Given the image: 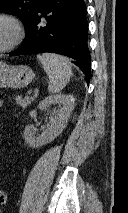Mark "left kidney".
<instances>
[{"label":"left kidney","mask_w":128,"mask_h":213,"mask_svg":"<svg viewBox=\"0 0 128 213\" xmlns=\"http://www.w3.org/2000/svg\"><path fill=\"white\" fill-rule=\"evenodd\" d=\"M74 102L75 98L66 94L48 96L42 100L38 105L40 110H47L52 104H60L61 107L51 111L49 124L41 128L40 135H36L30 126H26L23 134L25 142L32 148H38L52 142L66 127L74 109Z\"/></svg>","instance_id":"1"}]
</instances>
